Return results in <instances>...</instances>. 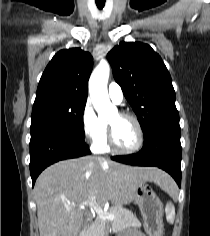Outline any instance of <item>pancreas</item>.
Here are the masks:
<instances>
[{
	"mask_svg": "<svg viewBox=\"0 0 210 236\" xmlns=\"http://www.w3.org/2000/svg\"><path fill=\"white\" fill-rule=\"evenodd\" d=\"M115 216L112 220H107L105 217H99L91 225L88 230V236H104L106 229L111 225L114 231H120L128 227H140L141 223L137 217L128 209L120 206H113L107 212Z\"/></svg>",
	"mask_w": 210,
	"mask_h": 236,
	"instance_id": "obj_1",
	"label": "pancreas"
}]
</instances>
